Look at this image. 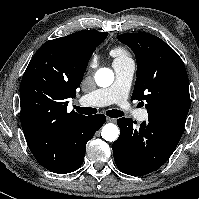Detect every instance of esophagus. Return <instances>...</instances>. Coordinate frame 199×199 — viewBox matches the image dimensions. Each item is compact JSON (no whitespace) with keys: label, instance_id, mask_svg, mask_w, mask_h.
<instances>
[{"label":"esophagus","instance_id":"obj_1","mask_svg":"<svg viewBox=\"0 0 199 199\" xmlns=\"http://www.w3.org/2000/svg\"><path fill=\"white\" fill-rule=\"evenodd\" d=\"M115 121H116V119L107 117V122H112V123H114Z\"/></svg>","mask_w":199,"mask_h":199}]
</instances>
